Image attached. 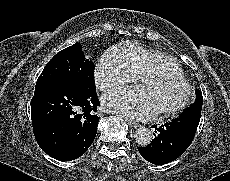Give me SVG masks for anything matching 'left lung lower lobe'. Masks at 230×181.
<instances>
[{
  "instance_id": "1",
  "label": "left lung lower lobe",
  "mask_w": 230,
  "mask_h": 181,
  "mask_svg": "<svg viewBox=\"0 0 230 181\" xmlns=\"http://www.w3.org/2000/svg\"><path fill=\"white\" fill-rule=\"evenodd\" d=\"M200 117V111L187 110L172 122L153 125L155 138L148 146L139 147V153L145 160L156 165L177 159L192 143Z\"/></svg>"
}]
</instances>
